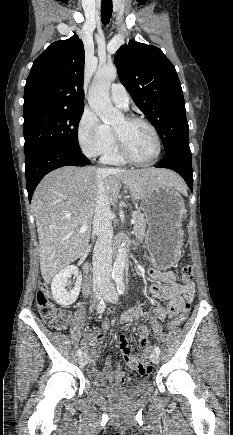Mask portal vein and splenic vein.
Instances as JSON below:
<instances>
[{
  "mask_svg": "<svg viewBox=\"0 0 233 435\" xmlns=\"http://www.w3.org/2000/svg\"><path fill=\"white\" fill-rule=\"evenodd\" d=\"M135 223H136V220H135V219H132V220H131V224H135ZM86 229H87V224L84 223V224L81 226V228H80V233L85 232Z\"/></svg>",
  "mask_w": 233,
  "mask_h": 435,
  "instance_id": "obj_1",
  "label": "portal vein and splenic vein"
}]
</instances>
